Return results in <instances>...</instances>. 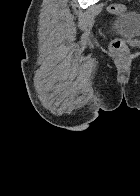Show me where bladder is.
I'll return each mask as SVG.
<instances>
[{"mask_svg": "<svg viewBox=\"0 0 140 196\" xmlns=\"http://www.w3.org/2000/svg\"><path fill=\"white\" fill-rule=\"evenodd\" d=\"M121 20L117 26L119 33L136 36L140 34V16L130 12L120 13Z\"/></svg>", "mask_w": 140, "mask_h": 196, "instance_id": "1", "label": "bladder"}]
</instances>
